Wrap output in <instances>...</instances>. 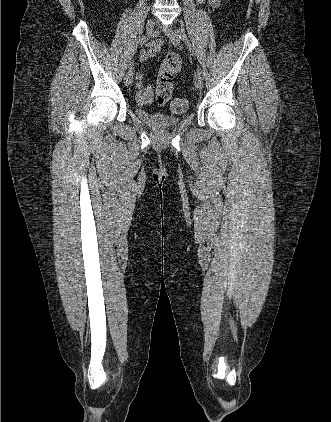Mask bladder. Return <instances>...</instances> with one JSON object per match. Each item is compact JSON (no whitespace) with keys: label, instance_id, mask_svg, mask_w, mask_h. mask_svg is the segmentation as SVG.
<instances>
[{"label":"bladder","instance_id":"obj_1","mask_svg":"<svg viewBox=\"0 0 331 422\" xmlns=\"http://www.w3.org/2000/svg\"><path fill=\"white\" fill-rule=\"evenodd\" d=\"M185 113L186 111L170 114L163 111H150L144 108L135 109V114L143 123L156 129L177 126Z\"/></svg>","mask_w":331,"mask_h":422}]
</instances>
